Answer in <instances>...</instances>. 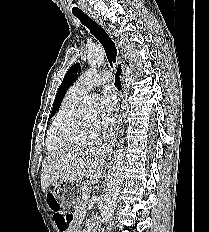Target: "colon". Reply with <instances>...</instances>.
<instances>
[{"label":"colon","mask_w":209,"mask_h":232,"mask_svg":"<svg viewBox=\"0 0 209 232\" xmlns=\"http://www.w3.org/2000/svg\"><path fill=\"white\" fill-rule=\"evenodd\" d=\"M45 198L48 202V206H51L54 212L55 225L59 226L61 229H66L72 223V214L60 207L54 197V193H45Z\"/></svg>","instance_id":"1"}]
</instances>
